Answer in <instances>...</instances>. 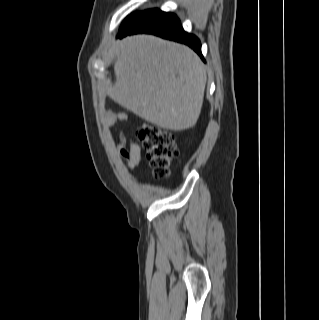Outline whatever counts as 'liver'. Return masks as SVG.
Returning a JSON list of instances; mask_svg holds the SVG:
<instances>
[{
    "label": "liver",
    "mask_w": 319,
    "mask_h": 320,
    "mask_svg": "<svg viewBox=\"0 0 319 320\" xmlns=\"http://www.w3.org/2000/svg\"><path fill=\"white\" fill-rule=\"evenodd\" d=\"M115 55L116 80L107 92L116 103L166 130L197 123L207 76L193 50L142 34L119 41Z\"/></svg>",
    "instance_id": "liver-1"
}]
</instances>
